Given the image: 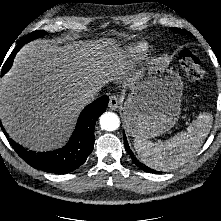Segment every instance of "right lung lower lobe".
<instances>
[{
  "label": "right lung lower lobe",
  "instance_id": "98d812e1",
  "mask_svg": "<svg viewBox=\"0 0 221 221\" xmlns=\"http://www.w3.org/2000/svg\"><path fill=\"white\" fill-rule=\"evenodd\" d=\"M27 42H29V39L25 37L16 46L2 70V74L10 69L16 53ZM108 101V96H102L86 106L78 118L76 128L67 145L54 151L46 153L27 151L24 147L10 139L6 132H4V134L17 154L32 167L50 173L66 174L76 170L84 164L87 157L92 152L94 146L95 123L97 118L105 112Z\"/></svg>",
  "mask_w": 221,
  "mask_h": 221
}]
</instances>
